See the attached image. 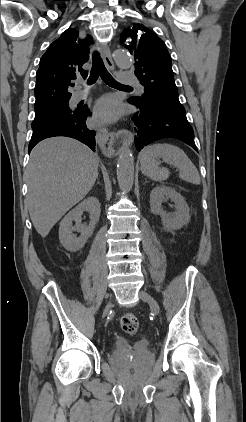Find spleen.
Returning a JSON list of instances; mask_svg holds the SVG:
<instances>
[{"mask_svg": "<svg viewBox=\"0 0 246 422\" xmlns=\"http://www.w3.org/2000/svg\"><path fill=\"white\" fill-rule=\"evenodd\" d=\"M157 157H161L167 164L177 167L182 180L195 185L200 184L198 170L186 153L179 147L167 143L147 146L140 154L141 171L150 179L162 182L167 180L170 175L167 168L159 167V163L156 161Z\"/></svg>", "mask_w": 246, "mask_h": 422, "instance_id": "3e777b00", "label": "spleen"}]
</instances>
